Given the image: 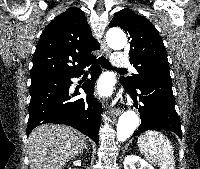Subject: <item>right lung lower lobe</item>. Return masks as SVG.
<instances>
[{
	"label": "right lung lower lobe",
	"mask_w": 200,
	"mask_h": 169,
	"mask_svg": "<svg viewBox=\"0 0 200 169\" xmlns=\"http://www.w3.org/2000/svg\"><path fill=\"white\" fill-rule=\"evenodd\" d=\"M93 62L91 78L83 85V90L87 94L86 101L83 99L71 101L73 96L69 95V87L72 84L70 79L79 77L85 66L69 76L52 78L31 85L27 135L38 125L58 123L72 126L98 142L102 109L93 96V86L101 74V68L95 58Z\"/></svg>",
	"instance_id": "right-lung-lower-lobe-1"
}]
</instances>
